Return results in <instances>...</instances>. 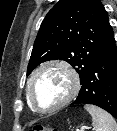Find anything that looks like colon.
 I'll list each match as a JSON object with an SVG mask.
<instances>
[{
  "label": "colon",
  "mask_w": 117,
  "mask_h": 131,
  "mask_svg": "<svg viewBox=\"0 0 117 131\" xmlns=\"http://www.w3.org/2000/svg\"><path fill=\"white\" fill-rule=\"evenodd\" d=\"M29 131H59L56 128H51L48 126L43 125H35L33 128H31Z\"/></svg>",
  "instance_id": "obj_1"
}]
</instances>
